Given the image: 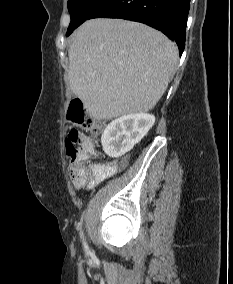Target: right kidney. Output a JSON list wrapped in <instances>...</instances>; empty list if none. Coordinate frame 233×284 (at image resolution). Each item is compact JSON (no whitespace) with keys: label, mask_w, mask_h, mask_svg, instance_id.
I'll use <instances>...</instances> for the list:
<instances>
[{"label":"right kidney","mask_w":233,"mask_h":284,"mask_svg":"<svg viewBox=\"0 0 233 284\" xmlns=\"http://www.w3.org/2000/svg\"><path fill=\"white\" fill-rule=\"evenodd\" d=\"M154 123V115L147 113L128 114L113 120L102 134L103 150L110 157H121L141 141Z\"/></svg>","instance_id":"right-kidney-1"}]
</instances>
